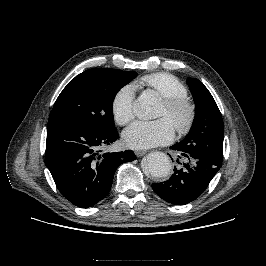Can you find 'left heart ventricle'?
Wrapping results in <instances>:
<instances>
[{
    "mask_svg": "<svg viewBox=\"0 0 266 266\" xmlns=\"http://www.w3.org/2000/svg\"><path fill=\"white\" fill-rule=\"evenodd\" d=\"M158 117L167 118L172 124L174 122V119L172 116L169 115L167 108L164 103L161 104L160 109L158 111Z\"/></svg>",
    "mask_w": 266,
    "mask_h": 266,
    "instance_id": "left-heart-ventricle-1",
    "label": "left heart ventricle"
}]
</instances>
